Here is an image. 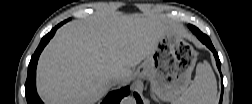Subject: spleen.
Listing matches in <instances>:
<instances>
[{
    "label": "spleen",
    "mask_w": 252,
    "mask_h": 104,
    "mask_svg": "<svg viewBox=\"0 0 252 104\" xmlns=\"http://www.w3.org/2000/svg\"><path fill=\"white\" fill-rule=\"evenodd\" d=\"M217 102V82L211 66L204 61L196 67L191 85L177 98V104H214Z\"/></svg>",
    "instance_id": "3e777b00"
}]
</instances>
